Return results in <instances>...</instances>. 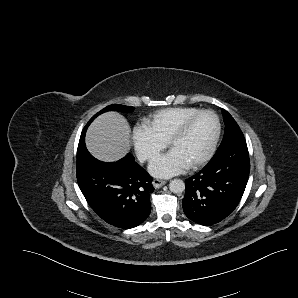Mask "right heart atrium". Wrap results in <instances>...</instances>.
<instances>
[{
  "label": "right heart atrium",
  "instance_id": "obj_1",
  "mask_svg": "<svg viewBox=\"0 0 298 298\" xmlns=\"http://www.w3.org/2000/svg\"><path fill=\"white\" fill-rule=\"evenodd\" d=\"M132 140L136 153L142 161L151 159L166 147V141L156 136L150 129L136 125L132 128Z\"/></svg>",
  "mask_w": 298,
  "mask_h": 298
}]
</instances>
